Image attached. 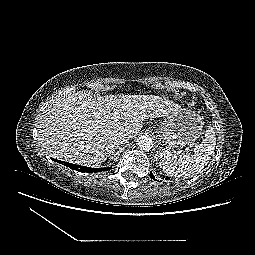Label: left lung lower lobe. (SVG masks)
Here are the masks:
<instances>
[{"instance_id": "0a47b994", "label": "left lung lower lobe", "mask_w": 255, "mask_h": 255, "mask_svg": "<svg viewBox=\"0 0 255 255\" xmlns=\"http://www.w3.org/2000/svg\"><path fill=\"white\" fill-rule=\"evenodd\" d=\"M150 177L156 181V179L154 178V176L152 175V173H150Z\"/></svg>"}]
</instances>
